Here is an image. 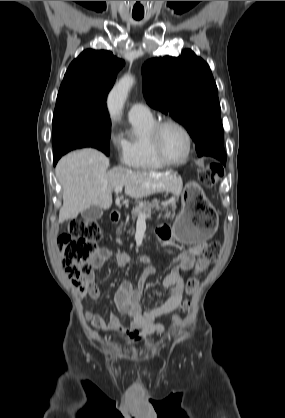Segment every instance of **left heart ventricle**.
Returning a JSON list of instances; mask_svg holds the SVG:
<instances>
[{"label":"left heart ventricle","mask_w":285,"mask_h":418,"mask_svg":"<svg viewBox=\"0 0 285 418\" xmlns=\"http://www.w3.org/2000/svg\"><path fill=\"white\" fill-rule=\"evenodd\" d=\"M160 144L165 155L174 161L183 158L187 150V140L184 133L172 125L162 130Z\"/></svg>","instance_id":"left-heart-ventricle-1"}]
</instances>
